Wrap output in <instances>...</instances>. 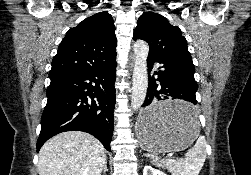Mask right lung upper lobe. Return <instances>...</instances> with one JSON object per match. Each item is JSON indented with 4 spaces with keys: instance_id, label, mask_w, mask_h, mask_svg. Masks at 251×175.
Wrapping results in <instances>:
<instances>
[{
    "instance_id": "1",
    "label": "right lung upper lobe",
    "mask_w": 251,
    "mask_h": 175,
    "mask_svg": "<svg viewBox=\"0 0 251 175\" xmlns=\"http://www.w3.org/2000/svg\"><path fill=\"white\" fill-rule=\"evenodd\" d=\"M107 11L84 19L66 33L52 61L50 78L102 68L115 61L117 39Z\"/></svg>"
}]
</instances>
